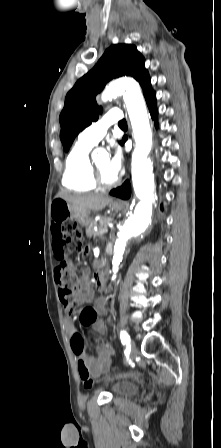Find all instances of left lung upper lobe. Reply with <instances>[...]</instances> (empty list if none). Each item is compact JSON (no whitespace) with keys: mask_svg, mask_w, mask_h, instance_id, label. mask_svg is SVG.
Segmentation results:
<instances>
[{"mask_svg":"<svg viewBox=\"0 0 221 448\" xmlns=\"http://www.w3.org/2000/svg\"><path fill=\"white\" fill-rule=\"evenodd\" d=\"M144 63V57L136 46L112 45L94 68L76 82L66 95L65 106L59 117L60 138L66 152L78 133L93 121H97L102 108L98 107L95 96L111 79L132 76L140 83L144 93L151 89L150 77Z\"/></svg>","mask_w":221,"mask_h":448,"instance_id":"5c2ea615","label":"left lung upper lobe"}]
</instances>
